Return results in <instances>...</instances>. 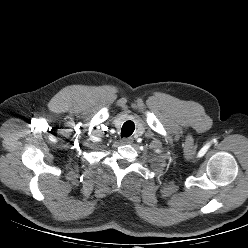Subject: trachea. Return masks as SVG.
<instances>
[{
    "label": "trachea",
    "instance_id": "1",
    "mask_svg": "<svg viewBox=\"0 0 248 248\" xmlns=\"http://www.w3.org/2000/svg\"><path fill=\"white\" fill-rule=\"evenodd\" d=\"M135 130V125L132 121H127L123 124L121 129V137H129Z\"/></svg>",
    "mask_w": 248,
    "mask_h": 248
}]
</instances>
